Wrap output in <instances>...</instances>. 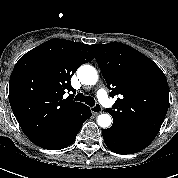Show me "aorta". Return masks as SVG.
<instances>
[{
  "instance_id": "obj_1",
  "label": "aorta",
  "mask_w": 178,
  "mask_h": 178,
  "mask_svg": "<svg viewBox=\"0 0 178 178\" xmlns=\"http://www.w3.org/2000/svg\"><path fill=\"white\" fill-rule=\"evenodd\" d=\"M79 81L84 85H94L98 80L96 69L90 65H82L77 70ZM97 123L102 128H109L112 124V117L109 114H101L97 118Z\"/></svg>"
}]
</instances>
